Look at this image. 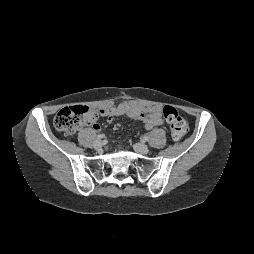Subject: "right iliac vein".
Wrapping results in <instances>:
<instances>
[{
	"label": "right iliac vein",
	"mask_w": 254,
	"mask_h": 254,
	"mask_svg": "<svg viewBox=\"0 0 254 254\" xmlns=\"http://www.w3.org/2000/svg\"><path fill=\"white\" fill-rule=\"evenodd\" d=\"M102 146H103V142L100 140L96 141V143L94 144V148L97 150L101 149Z\"/></svg>",
	"instance_id": "right-iliac-vein-1"
}]
</instances>
